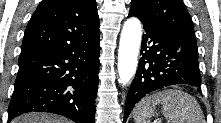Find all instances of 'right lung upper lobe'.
Segmentation results:
<instances>
[{
    "label": "right lung upper lobe",
    "instance_id": "obj_1",
    "mask_svg": "<svg viewBox=\"0 0 221 123\" xmlns=\"http://www.w3.org/2000/svg\"><path fill=\"white\" fill-rule=\"evenodd\" d=\"M97 35L95 0H43L27 25L21 54L62 49Z\"/></svg>",
    "mask_w": 221,
    "mask_h": 123
}]
</instances>
